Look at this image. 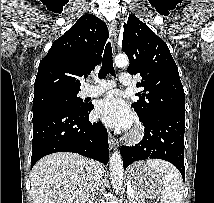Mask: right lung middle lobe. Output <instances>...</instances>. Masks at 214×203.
Returning <instances> with one entry per match:
<instances>
[{
    "label": "right lung middle lobe",
    "instance_id": "1",
    "mask_svg": "<svg viewBox=\"0 0 214 203\" xmlns=\"http://www.w3.org/2000/svg\"><path fill=\"white\" fill-rule=\"evenodd\" d=\"M78 93H55L33 99V115L44 111L63 109H84L86 104L77 96Z\"/></svg>",
    "mask_w": 214,
    "mask_h": 203
}]
</instances>
